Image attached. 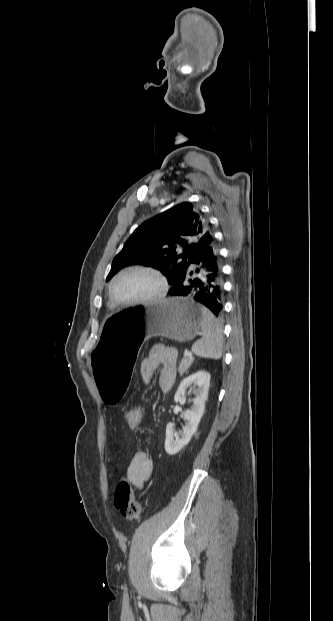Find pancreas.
I'll return each instance as SVG.
<instances>
[{
	"label": "pancreas",
	"instance_id": "pancreas-1",
	"mask_svg": "<svg viewBox=\"0 0 333 621\" xmlns=\"http://www.w3.org/2000/svg\"><path fill=\"white\" fill-rule=\"evenodd\" d=\"M193 361H194V358L192 356L184 357L181 360V362L179 363V368H178L180 375H183L185 372H187L188 368L191 366Z\"/></svg>",
	"mask_w": 333,
	"mask_h": 621
}]
</instances>
